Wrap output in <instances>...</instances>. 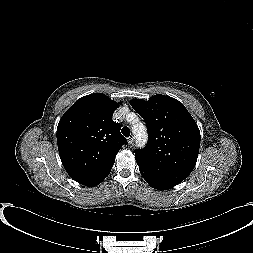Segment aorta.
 I'll return each mask as SVG.
<instances>
[{
	"label": "aorta",
	"instance_id": "1",
	"mask_svg": "<svg viewBox=\"0 0 253 253\" xmlns=\"http://www.w3.org/2000/svg\"><path fill=\"white\" fill-rule=\"evenodd\" d=\"M133 132L139 140V144H143L145 142L146 137L145 126L143 124H137L133 127Z\"/></svg>",
	"mask_w": 253,
	"mask_h": 253
}]
</instances>
